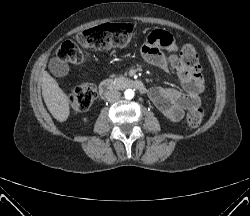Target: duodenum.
Masks as SVG:
<instances>
[{"instance_id":"obj_1","label":"duodenum","mask_w":250,"mask_h":216,"mask_svg":"<svg viewBox=\"0 0 250 216\" xmlns=\"http://www.w3.org/2000/svg\"><path fill=\"white\" fill-rule=\"evenodd\" d=\"M135 88L141 92H145L144 84L139 80L128 78H114L102 82L99 86V94L101 98H106L115 89Z\"/></svg>"}]
</instances>
